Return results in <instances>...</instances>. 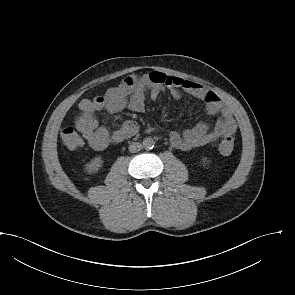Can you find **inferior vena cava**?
Segmentation results:
<instances>
[{"mask_svg":"<svg viewBox=\"0 0 295 295\" xmlns=\"http://www.w3.org/2000/svg\"><path fill=\"white\" fill-rule=\"evenodd\" d=\"M142 149V144L138 143V142H132L129 145V151L131 153H136L138 151H140Z\"/></svg>","mask_w":295,"mask_h":295,"instance_id":"obj_1","label":"inferior vena cava"}]
</instances>
